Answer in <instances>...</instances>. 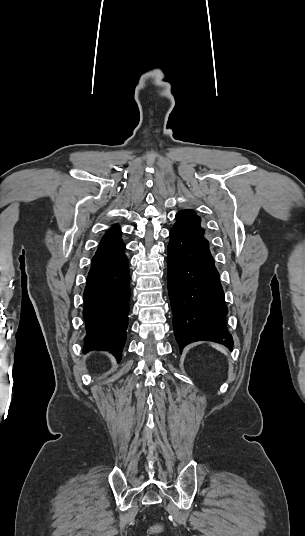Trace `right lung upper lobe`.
Masks as SVG:
<instances>
[{"instance_id":"1","label":"right lung upper lobe","mask_w":305,"mask_h":536,"mask_svg":"<svg viewBox=\"0 0 305 536\" xmlns=\"http://www.w3.org/2000/svg\"><path fill=\"white\" fill-rule=\"evenodd\" d=\"M120 245H123L120 228L118 225H114L102 237L96 253L106 251L108 249H112Z\"/></svg>"}]
</instances>
